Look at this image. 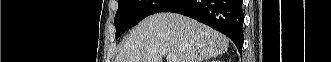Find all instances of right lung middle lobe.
<instances>
[{"label":"right lung middle lobe","mask_w":331,"mask_h":62,"mask_svg":"<svg viewBox=\"0 0 331 62\" xmlns=\"http://www.w3.org/2000/svg\"><path fill=\"white\" fill-rule=\"evenodd\" d=\"M177 0H118L119 6L115 15V37L139 23L145 17L161 12Z\"/></svg>","instance_id":"dd1d6c3e"}]
</instances>
